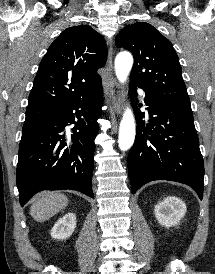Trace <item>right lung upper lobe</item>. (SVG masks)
<instances>
[{
    "label": "right lung upper lobe",
    "mask_w": 215,
    "mask_h": 274,
    "mask_svg": "<svg viewBox=\"0 0 215 274\" xmlns=\"http://www.w3.org/2000/svg\"><path fill=\"white\" fill-rule=\"evenodd\" d=\"M106 58L105 41L90 26L65 29L39 65L26 112L56 111L88 94L101 82L97 69Z\"/></svg>",
    "instance_id": "obj_1"
}]
</instances>
